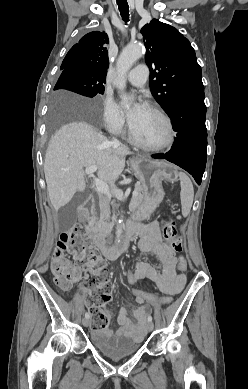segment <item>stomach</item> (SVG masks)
<instances>
[{"instance_id":"1","label":"stomach","mask_w":248,"mask_h":389,"mask_svg":"<svg viewBox=\"0 0 248 389\" xmlns=\"http://www.w3.org/2000/svg\"><path fill=\"white\" fill-rule=\"evenodd\" d=\"M131 167L140 181L135 184V187L144 189L141 209H137L131 218L146 220L164 197L162 183H173L178 176V169L175 164L145 158L132 160Z\"/></svg>"}]
</instances>
